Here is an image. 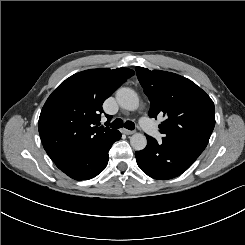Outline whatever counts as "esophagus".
Returning <instances> with one entry per match:
<instances>
[{
    "mask_svg": "<svg viewBox=\"0 0 245 245\" xmlns=\"http://www.w3.org/2000/svg\"><path fill=\"white\" fill-rule=\"evenodd\" d=\"M122 132L127 135H132L135 133L134 130L122 129Z\"/></svg>",
    "mask_w": 245,
    "mask_h": 245,
    "instance_id": "obj_1",
    "label": "esophagus"
}]
</instances>
